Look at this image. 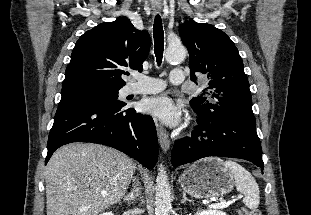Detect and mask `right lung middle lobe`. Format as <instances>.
<instances>
[{
    "label": "right lung middle lobe",
    "mask_w": 311,
    "mask_h": 215,
    "mask_svg": "<svg viewBox=\"0 0 311 215\" xmlns=\"http://www.w3.org/2000/svg\"><path fill=\"white\" fill-rule=\"evenodd\" d=\"M119 89V87L94 83H75L62 86V97L58 107L67 104H88L101 108H122L126 104L118 100Z\"/></svg>",
    "instance_id": "1"
}]
</instances>
